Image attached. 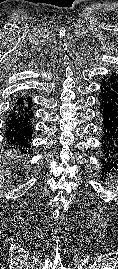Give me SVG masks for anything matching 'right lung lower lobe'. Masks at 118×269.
I'll list each match as a JSON object with an SVG mask.
<instances>
[{"label": "right lung lower lobe", "mask_w": 118, "mask_h": 269, "mask_svg": "<svg viewBox=\"0 0 118 269\" xmlns=\"http://www.w3.org/2000/svg\"><path fill=\"white\" fill-rule=\"evenodd\" d=\"M32 102L25 98H18L9 117L6 122V133L5 137L11 144L19 146L20 149L23 147H30L29 142L31 141L32 135ZM16 146V147H17ZM24 153V149H22Z\"/></svg>", "instance_id": "obj_1"}]
</instances>
